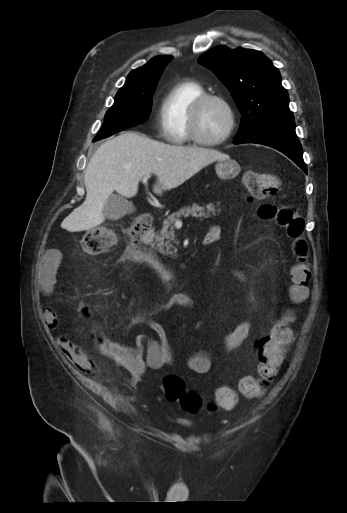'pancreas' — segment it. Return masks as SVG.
Returning a JSON list of instances; mask_svg holds the SVG:
<instances>
[{"mask_svg": "<svg viewBox=\"0 0 347 513\" xmlns=\"http://www.w3.org/2000/svg\"><path fill=\"white\" fill-rule=\"evenodd\" d=\"M210 212L215 215V212H220L215 209V205L212 203L207 204L206 206H200L197 203H193L191 206H184L180 210L171 213L166 219L163 220L162 229L155 236V244L158 247L159 252L172 255L173 252L170 250L172 247L171 241L175 239V231H174V222L177 218L184 217L187 218L189 216L199 217V218H209ZM166 248V250H164Z\"/></svg>", "mask_w": 347, "mask_h": 513, "instance_id": "pancreas-1", "label": "pancreas"}]
</instances>
